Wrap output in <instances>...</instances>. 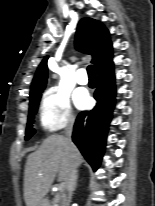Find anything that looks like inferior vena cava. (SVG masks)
I'll list each match as a JSON object with an SVG mask.
<instances>
[{"label":"inferior vena cava","instance_id":"602c4592","mask_svg":"<svg viewBox=\"0 0 155 206\" xmlns=\"http://www.w3.org/2000/svg\"><path fill=\"white\" fill-rule=\"evenodd\" d=\"M73 126H74V119L70 118L65 128V136H66L65 138L69 146H71L72 144L71 136H72ZM76 177H77L76 164L72 160L70 164L69 178H68V182L66 185V189L68 192V198L64 201V206H69L72 192L75 189Z\"/></svg>","mask_w":155,"mask_h":206}]
</instances>
